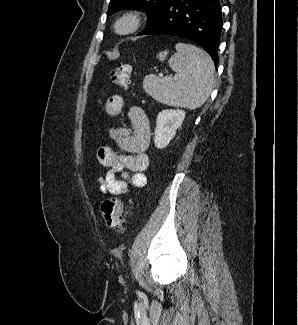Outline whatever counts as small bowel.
I'll list each match as a JSON object with an SVG mask.
<instances>
[{"label":"small bowel","instance_id":"small-bowel-1","mask_svg":"<svg viewBox=\"0 0 298 325\" xmlns=\"http://www.w3.org/2000/svg\"><path fill=\"white\" fill-rule=\"evenodd\" d=\"M123 108L121 95H113L105 103V111L111 117L119 115ZM128 116L131 129L122 126L108 129V137L117 144L119 151L103 146L97 152L98 162L107 168L99 178L100 190L104 194H128L131 187L141 188L147 184L144 172L149 165L146 151L151 139L150 122L138 106L131 107Z\"/></svg>","mask_w":298,"mask_h":325}]
</instances>
